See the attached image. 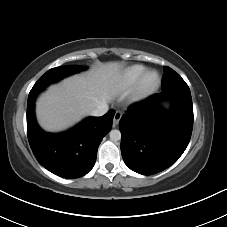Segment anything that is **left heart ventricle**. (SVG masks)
Returning <instances> with one entry per match:
<instances>
[{"instance_id": "1", "label": "left heart ventricle", "mask_w": 227, "mask_h": 227, "mask_svg": "<svg viewBox=\"0 0 227 227\" xmlns=\"http://www.w3.org/2000/svg\"><path fill=\"white\" fill-rule=\"evenodd\" d=\"M155 80V76L154 75H150L148 77V83H152Z\"/></svg>"}]
</instances>
